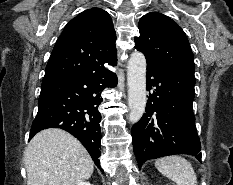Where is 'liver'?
<instances>
[{"label": "liver", "instance_id": "liver-1", "mask_svg": "<svg viewBox=\"0 0 233 185\" xmlns=\"http://www.w3.org/2000/svg\"><path fill=\"white\" fill-rule=\"evenodd\" d=\"M27 185H78L93 173L94 163L83 145L57 128L37 133L24 153Z\"/></svg>", "mask_w": 233, "mask_h": 185}]
</instances>
